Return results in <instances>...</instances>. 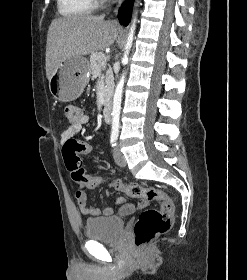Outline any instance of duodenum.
<instances>
[{"instance_id": "obj_1", "label": "duodenum", "mask_w": 247, "mask_h": 280, "mask_svg": "<svg viewBox=\"0 0 247 280\" xmlns=\"http://www.w3.org/2000/svg\"><path fill=\"white\" fill-rule=\"evenodd\" d=\"M103 119L105 122H110L111 120V104L106 102L102 110Z\"/></svg>"}]
</instances>
